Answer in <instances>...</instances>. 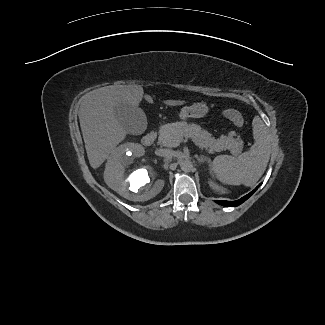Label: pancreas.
<instances>
[{
    "label": "pancreas",
    "mask_w": 325,
    "mask_h": 325,
    "mask_svg": "<svg viewBox=\"0 0 325 325\" xmlns=\"http://www.w3.org/2000/svg\"><path fill=\"white\" fill-rule=\"evenodd\" d=\"M236 133L231 131L228 135H222L215 139L199 125L188 124L186 122L168 123L160 127L158 144L165 147H177L182 137L191 138L200 148H205L210 153L230 150L233 155L241 153L243 141Z\"/></svg>",
    "instance_id": "obj_1"
}]
</instances>
